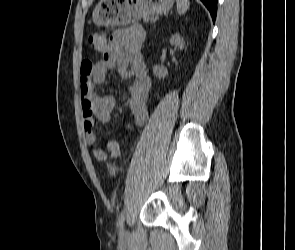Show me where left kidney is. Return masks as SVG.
<instances>
[{
  "label": "left kidney",
  "mask_w": 295,
  "mask_h": 250,
  "mask_svg": "<svg viewBox=\"0 0 295 250\" xmlns=\"http://www.w3.org/2000/svg\"><path fill=\"white\" fill-rule=\"evenodd\" d=\"M170 44L175 45V47H178L180 50L184 48V40L180 37L179 33H175L171 36ZM153 74L159 79L165 78L168 75V70L162 65H155L153 68Z\"/></svg>",
  "instance_id": "obj_1"
}]
</instances>
